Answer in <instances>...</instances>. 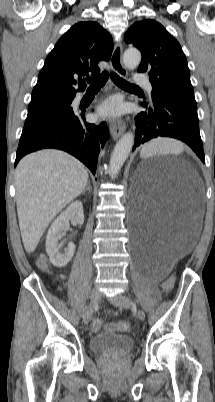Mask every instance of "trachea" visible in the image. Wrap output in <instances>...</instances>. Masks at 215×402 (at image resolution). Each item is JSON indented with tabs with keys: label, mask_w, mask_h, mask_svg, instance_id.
I'll list each match as a JSON object with an SVG mask.
<instances>
[{
	"label": "trachea",
	"mask_w": 215,
	"mask_h": 402,
	"mask_svg": "<svg viewBox=\"0 0 215 402\" xmlns=\"http://www.w3.org/2000/svg\"><path fill=\"white\" fill-rule=\"evenodd\" d=\"M109 77V73L107 71L102 72L101 74L86 78V81L90 84L89 89H100L105 85ZM111 79L114 81L116 85L122 88H139L138 86L127 82L126 80L119 77L116 73L110 74Z\"/></svg>",
	"instance_id": "3493384b"
}]
</instances>
